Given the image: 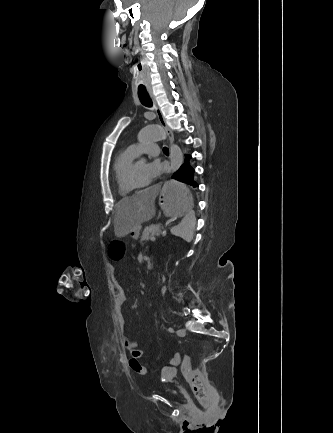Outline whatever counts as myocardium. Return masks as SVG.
Instances as JSON below:
<instances>
[{"instance_id":"obj_1","label":"myocardium","mask_w":333,"mask_h":433,"mask_svg":"<svg viewBox=\"0 0 333 433\" xmlns=\"http://www.w3.org/2000/svg\"><path fill=\"white\" fill-rule=\"evenodd\" d=\"M134 166H135V161L131 162L130 165L127 167L123 177L124 184L131 190H140L146 188L149 185V183H144V184L134 183L133 181Z\"/></svg>"}]
</instances>
